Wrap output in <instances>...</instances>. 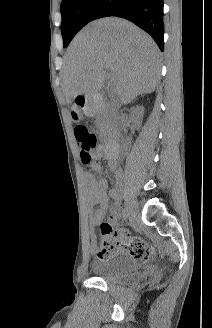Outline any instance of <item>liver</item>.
Wrapping results in <instances>:
<instances>
[{
	"label": "liver",
	"mask_w": 212,
	"mask_h": 328,
	"mask_svg": "<svg viewBox=\"0 0 212 328\" xmlns=\"http://www.w3.org/2000/svg\"><path fill=\"white\" fill-rule=\"evenodd\" d=\"M112 73L111 84L122 104L151 93L158 83L159 50L133 23L109 17L90 22L72 40L65 55L63 85L69 98L93 96Z\"/></svg>",
	"instance_id": "1"
}]
</instances>
